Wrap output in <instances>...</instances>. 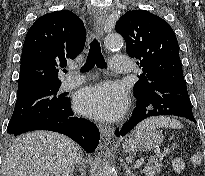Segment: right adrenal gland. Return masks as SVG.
<instances>
[{"instance_id": "obj_1", "label": "right adrenal gland", "mask_w": 205, "mask_h": 176, "mask_svg": "<svg viewBox=\"0 0 205 176\" xmlns=\"http://www.w3.org/2000/svg\"><path fill=\"white\" fill-rule=\"evenodd\" d=\"M80 172H81V176H85V172H84L83 167L80 168Z\"/></svg>"}]
</instances>
